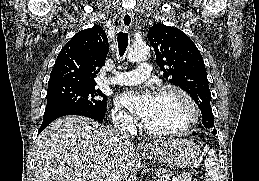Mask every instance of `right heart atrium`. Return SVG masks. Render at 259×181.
<instances>
[{"label":"right heart atrium","mask_w":259,"mask_h":181,"mask_svg":"<svg viewBox=\"0 0 259 181\" xmlns=\"http://www.w3.org/2000/svg\"><path fill=\"white\" fill-rule=\"evenodd\" d=\"M113 122L122 128H132L134 126L133 118L118 107L112 109Z\"/></svg>","instance_id":"d8ad5b80"}]
</instances>
